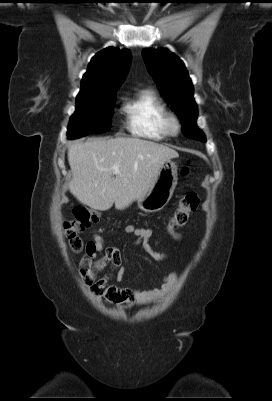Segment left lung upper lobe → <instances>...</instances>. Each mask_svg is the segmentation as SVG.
<instances>
[{"instance_id": "1", "label": "left lung upper lobe", "mask_w": 272, "mask_h": 401, "mask_svg": "<svg viewBox=\"0 0 272 401\" xmlns=\"http://www.w3.org/2000/svg\"><path fill=\"white\" fill-rule=\"evenodd\" d=\"M142 55L163 97L180 116L185 135L205 142L203 132L196 127L197 105L193 98V84L184 63L167 49L145 48Z\"/></svg>"}]
</instances>
